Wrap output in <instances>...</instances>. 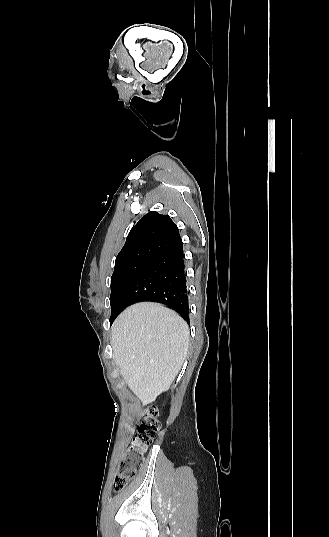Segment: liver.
<instances>
[{
  "label": "liver",
  "mask_w": 329,
  "mask_h": 537,
  "mask_svg": "<svg viewBox=\"0 0 329 537\" xmlns=\"http://www.w3.org/2000/svg\"><path fill=\"white\" fill-rule=\"evenodd\" d=\"M111 329L113 358L122 377L138 399L154 401L186 359L187 323L171 309L144 302L127 307Z\"/></svg>",
  "instance_id": "6515ba94"
}]
</instances>
